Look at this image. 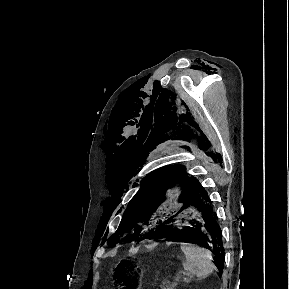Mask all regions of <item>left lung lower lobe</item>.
Here are the masks:
<instances>
[{
	"mask_svg": "<svg viewBox=\"0 0 289 289\" xmlns=\"http://www.w3.org/2000/svg\"><path fill=\"white\" fill-rule=\"evenodd\" d=\"M171 214L174 215L166 219L165 223L148 238L192 237L194 243L214 253L218 260L216 266L222 273L224 265L222 234L205 188L201 185L184 187L170 205L169 216ZM174 217L176 222L172 219Z\"/></svg>",
	"mask_w": 289,
	"mask_h": 289,
	"instance_id": "0a47b994",
	"label": "left lung lower lobe"
}]
</instances>
